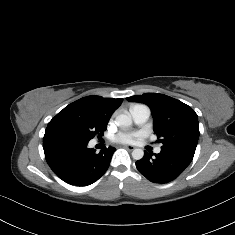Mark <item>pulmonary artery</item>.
<instances>
[{"label": "pulmonary artery", "mask_w": 235, "mask_h": 235, "mask_svg": "<svg viewBox=\"0 0 235 235\" xmlns=\"http://www.w3.org/2000/svg\"><path fill=\"white\" fill-rule=\"evenodd\" d=\"M131 115L136 125H144L151 114L150 108L145 104H136L130 108ZM155 151L159 153L161 151L160 147H156Z\"/></svg>", "instance_id": "obj_1"}]
</instances>
